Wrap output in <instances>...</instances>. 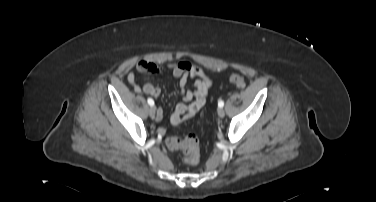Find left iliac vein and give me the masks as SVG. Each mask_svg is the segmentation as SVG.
Masks as SVG:
<instances>
[{
    "mask_svg": "<svg viewBox=\"0 0 376 202\" xmlns=\"http://www.w3.org/2000/svg\"><path fill=\"white\" fill-rule=\"evenodd\" d=\"M218 116L223 118L225 116V111L223 108H219L218 109Z\"/></svg>",
    "mask_w": 376,
    "mask_h": 202,
    "instance_id": "left-iliac-vein-1",
    "label": "left iliac vein"
}]
</instances>
